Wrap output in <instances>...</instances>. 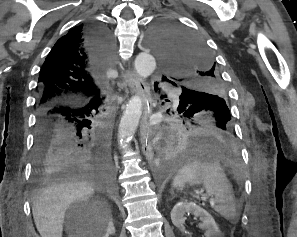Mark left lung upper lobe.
Wrapping results in <instances>:
<instances>
[{"instance_id": "1", "label": "left lung upper lobe", "mask_w": 297, "mask_h": 237, "mask_svg": "<svg viewBox=\"0 0 297 237\" xmlns=\"http://www.w3.org/2000/svg\"><path fill=\"white\" fill-rule=\"evenodd\" d=\"M148 41L162 61L170 81L182 89L181 107L188 115L214 114L232 129L226 89L210 50L203 40L171 22L155 24Z\"/></svg>"}]
</instances>
